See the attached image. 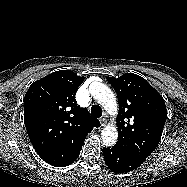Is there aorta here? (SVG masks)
<instances>
[{
  "label": "aorta",
  "mask_w": 187,
  "mask_h": 187,
  "mask_svg": "<svg viewBox=\"0 0 187 187\" xmlns=\"http://www.w3.org/2000/svg\"><path fill=\"white\" fill-rule=\"evenodd\" d=\"M90 93L95 100L111 115L117 114V101L112 90L99 82H94L89 87ZM118 138L117 129L114 125L106 126L102 133L101 139L105 146H113Z\"/></svg>",
  "instance_id": "obj_1"
}]
</instances>
